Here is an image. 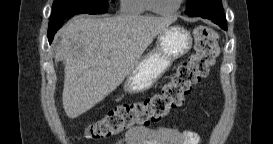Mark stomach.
Instances as JSON below:
<instances>
[{
	"label": "stomach",
	"mask_w": 273,
	"mask_h": 144,
	"mask_svg": "<svg viewBox=\"0 0 273 144\" xmlns=\"http://www.w3.org/2000/svg\"><path fill=\"white\" fill-rule=\"evenodd\" d=\"M192 47L190 32L180 26L167 27L158 34L156 46L143 55L124 82V90L137 93L150 89L171 64Z\"/></svg>",
	"instance_id": "obj_1"
}]
</instances>
